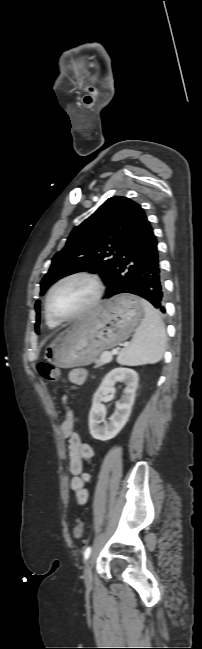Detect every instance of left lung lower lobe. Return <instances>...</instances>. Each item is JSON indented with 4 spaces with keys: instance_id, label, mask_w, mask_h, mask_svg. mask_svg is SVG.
Here are the masks:
<instances>
[{
    "instance_id": "1",
    "label": "left lung lower lobe",
    "mask_w": 202,
    "mask_h": 649,
    "mask_svg": "<svg viewBox=\"0 0 202 649\" xmlns=\"http://www.w3.org/2000/svg\"><path fill=\"white\" fill-rule=\"evenodd\" d=\"M156 237L146 216L133 228L120 251L119 260L104 298L132 293L151 302L165 312L162 278Z\"/></svg>"
}]
</instances>
